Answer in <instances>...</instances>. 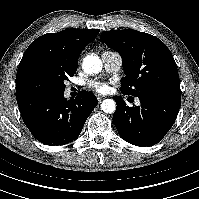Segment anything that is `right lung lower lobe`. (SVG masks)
Segmentation results:
<instances>
[{"label": "right lung lower lobe", "mask_w": 199, "mask_h": 199, "mask_svg": "<svg viewBox=\"0 0 199 199\" xmlns=\"http://www.w3.org/2000/svg\"><path fill=\"white\" fill-rule=\"evenodd\" d=\"M22 119L32 135L46 145H63L76 139L98 104L96 97L81 91L74 100L63 93L18 100Z\"/></svg>", "instance_id": "right-lung-lower-lobe-1"}]
</instances>
